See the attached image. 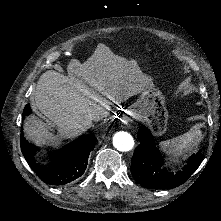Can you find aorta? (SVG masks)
Instances as JSON below:
<instances>
[{"mask_svg":"<svg viewBox=\"0 0 221 221\" xmlns=\"http://www.w3.org/2000/svg\"><path fill=\"white\" fill-rule=\"evenodd\" d=\"M113 145L117 150L127 152L134 147V139L128 132L119 131L113 136Z\"/></svg>","mask_w":221,"mask_h":221,"instance_id":"762f6f07","label":"aorta"}]
</instances>
